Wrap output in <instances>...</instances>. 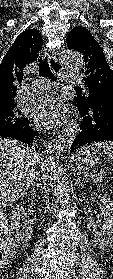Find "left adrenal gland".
<instances>
[{"label":"left adrenal gland","instance_id":"a2214340","mask_svg":"<svg viewBox=\"0 0 113 279\" xmlns=\"http://www.w3.org/2000/svg\"><path fill=\"white\" fill-rule=\"evenodd\" d=\"M80 182H87V180H84L79 173H77V180H76V184L77 186L80 184Z\"/></svg>","mask_w":113,"mask_h":279}]
</instances>
